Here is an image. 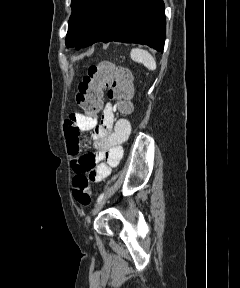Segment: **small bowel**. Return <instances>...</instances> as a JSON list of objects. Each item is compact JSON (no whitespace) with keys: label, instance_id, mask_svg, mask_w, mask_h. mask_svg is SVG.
<instances>
[{"label":"small bowel","instance_id":"1","mask_svg":"<svg viewBox=\"0 0 240 288\" xmlns=\"http://www.w3.org/2000/svg\"><path fill=\"white\" fill-rule=\"evenodd\" d=\"M63 128L73 172L85 175L94 183L104 180L120 163L122 144L131 132L128 120L115 119L110 102L104 106L100 119L71 113L65 119ZM83 131H92L91 143L95 152L81 153L80 133Z\"/></svg>","mask_w":240,"mask_h":288}]
</instances>
